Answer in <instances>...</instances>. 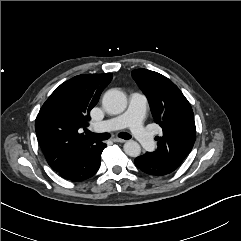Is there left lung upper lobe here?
Segmentation results:
<instances>
[{"mask_svg":"<svg viewBox=\"0 0 241 241\" xmlns=\"http://www.w3.org/2000/svg\"><path fill=\"white\" fill-rule=\"evenodd\" d=\"M132 76L147 96L154 121L163 130L149 159L179 167L192 150L196 138L194 114L179 88L165 76L147 69L132 71Z\"/></svg>","mask_w":241,"mask_h":241,"instance_id":"1","label":"left lung upper lobe"}]
</instances>
